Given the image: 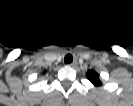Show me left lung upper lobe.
Returning <instances> with one entry per match:
<instances>
[{"instance_id":"obj_1","label":"left lung upper lobe","mask_w":133,"mask_h":106,"mask_svg":"<svg viewBox=\"0 0 133 106\" xmlns=\"http://www.w3.org/2000/svg\"><path fill=\"white\" fill-rule=\"evenodd\" d=\"M86 75L94 86L98 87L101 85V81L99 80V74L97 72L89 70Z\"/></svg>"}]
</instances>
